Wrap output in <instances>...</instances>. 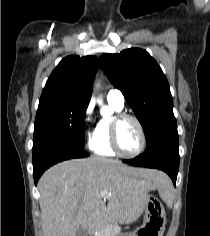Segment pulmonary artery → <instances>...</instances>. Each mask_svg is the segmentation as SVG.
Masks as SVG:
<instances>
[{
  "label": "pulmonary artery",
  "mask_w": 210,
  "mask_h": 236,
  "mask_svg": "<svg viewBox=\"0 0 210 236\" xmlns=\"http://www.w3.org/2000/svg\"><path fill=\"white\" fill-rule=\"evenodd\" d=\"M107 100L120 108H123L125 103L124 95L118 89H111L107 93Z\"/></svg>",
  "instance_id": "obj_1"
}]
</instances>
